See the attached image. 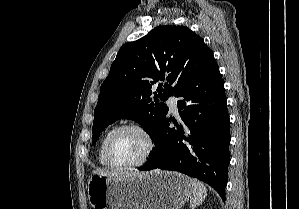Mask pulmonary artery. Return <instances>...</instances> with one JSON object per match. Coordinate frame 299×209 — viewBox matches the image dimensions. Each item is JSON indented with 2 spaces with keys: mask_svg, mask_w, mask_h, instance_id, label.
Wrapping results in <instances>:
<instances>
[{
  "mask_svg": "<svg viewBox=\"0 0 299 209\" xmlns=\"http://www.w3.org/2000/svg\"><path fill=\"white\" fill-rule=\"evenodd\" d=\"M177 102L178 98L175 95H171L167 99V104L174 113L177 112Z\"/></svg>",
  "mask_w": 299,
  "mask_h": 209,
  "instance_id": "e3ab8cb5",
  "label": "pulmonary artery"
}]
</instances>
